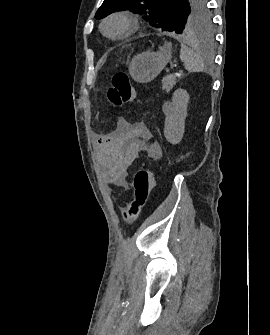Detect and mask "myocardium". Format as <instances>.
Returning <instances> with one entry per match:
<instances>
[{"label": "myocardium", "mask_w": 270, "mask_h": 335, "mask_svg": "<svg viewBox=\"0 0 270 335\" xmlns=\"http://www.w3.org/2000/svg\"><path fill=\"white\" fill-rule=\"evenodd\" d=\"M113 21L121 22L125 26V29L122 33L118 35H111L107 32V26ZM138 27H139V21L135 16L127 12L120 11L112 13L102 22L101 31L106 37L110 39H122L131 35ZM135 78H144V77H135Z\"/></svg>", "instance_id": "obj_1"}]
</instances>
